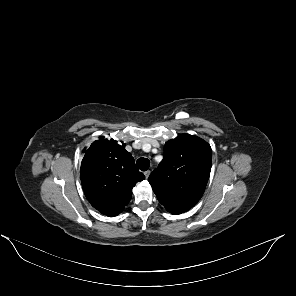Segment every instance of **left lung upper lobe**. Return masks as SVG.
<instances>
[{"instance_id":"obj_1","label":"left lung upper lobe","mask_w":296,"mask_h":296,"mask_svg":"<svg viewBox=\"0 0 296 296\" xmlns=\"http://www.w3.org/2000/svg\"><path fill=\"white\" fill-rule=\"evenodd\" d=\"M211 163L210 145L199 137L182 134L166 142L163 161L148 180L166 210L181 214L202 197Z\"/></svg>"}]
</instances>
